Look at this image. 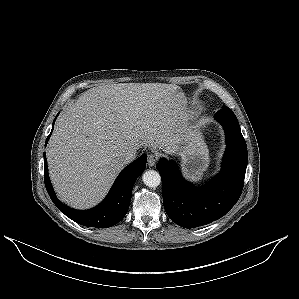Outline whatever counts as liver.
I'll return each mask as SVG.
<instances>
[{"mask_svg":"<svg viewBox=\"0 0 299 299\" xmlns=\"http://www.w3.org/2000/svg\"><path fill=\"white\" fill-rule=\"evenodd\" d=\"M185 102L172 84L120 83L84 92L59 118L48 143L50 179L60 199L92 207L126 165V150H176L191 133L182 120Z\"/></svg>","mask_w":299,"mask_h":299,"instance_id":"liver-1","label":"liver"}]
</instances>
